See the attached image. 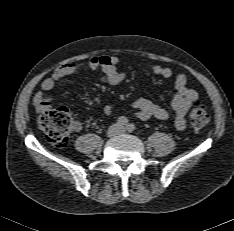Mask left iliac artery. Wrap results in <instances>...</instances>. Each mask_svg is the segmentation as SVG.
<instances>
[{
	"label": "left iliac artery",
	"instance_id": "1",
	"mask_svg": "<svg viewBox=\"0 0 234 231\" xmlns=\"http://www.w3.org/2000/svg\"><path fill=\"white\" fill-rule=\"evenodd\" d=\"M126 129H127V131H129V132H133L136 128H135V125H134V124H128V125L126 126Z\"/></svg>",
	"mask_w": 234,
	"mask_h": 231
}]
</instances>
